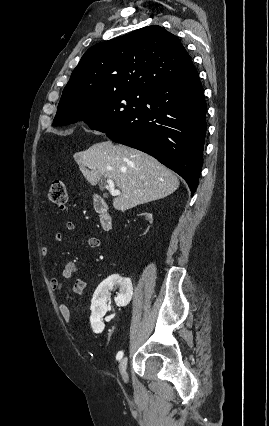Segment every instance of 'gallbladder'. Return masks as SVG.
<instances>
[{
  "mask_svg": "<svg viewBox=\"0 0 269 426\" xmlns=\"http://www.w3.org/2000/svg\"><path fill=\"white\" fill-rule=\"evenodd\" d=\"M100 185L102 186V185H104V182H100Z\"/></svg>",
  "mask_w": 269,
  "mask_h": 426,
  "instance_id": "obj_1",
  "label": "gallbladder"
}]
</instances>
